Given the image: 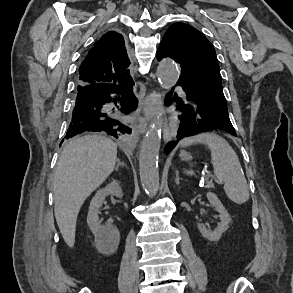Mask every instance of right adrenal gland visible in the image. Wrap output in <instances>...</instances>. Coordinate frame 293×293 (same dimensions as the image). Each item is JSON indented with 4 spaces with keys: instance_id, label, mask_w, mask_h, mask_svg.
Returning <instances> with one entry per match:
<instances>
[{
    "instance_id": "obj_1",
    "label": "right adrenal gland",
    "mask_w": 293,
    "mask_h": 293,
    "mask_svg": "<svg viewBox=\"0 0 293 293\" xmlns=\"http://www.w3.org/2000/svg\"><path fill=\"white\" fill-rule=\"evenodd\" d=\"M124 163H122V162H120V160L119 159H117V165H116V168H115V170L116 171H118V169H119V166H122V167H124Z\"/></svg>"
}]
</instances>
